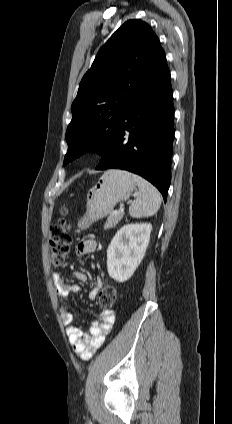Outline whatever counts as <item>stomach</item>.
<instances>
[{"label": "stomach", "instance_id": "stomach-1", "mask_svg": "<svg viewBox=\"0 0 232 424\" xmlns=\"http://www.w3.org/2000/svg\"><path fill=\"white\" fill-rule=\"evenodd\" d=\"M135 188L132 174L124 170L106 171L87 197L85 215L78 222L81 229L111 214L115 205L129 199Z\"/></svg>", "mask_w": 232, "mask_h": 424}]
</instances>
